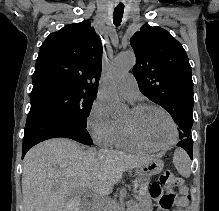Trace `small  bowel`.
I'll return each mask as SVG.
<instances>
[{"label": "small bowel", "instance_id": "1", "mask_svg": "<svg viewBox=\"0 0 219 211\" xmlns=\"http://www.w3.org/2000/svg\"><path fill=\"white\" fill-rule=\"evenodd\" d=\"M153 199L158 203V211H188L186 208L188 201L182 208L172 209L173 199L169 194L162 193L161 191L153 192Z\"/></svg>", "mask_w": 219, "mask_h": 211}]
</instances>
